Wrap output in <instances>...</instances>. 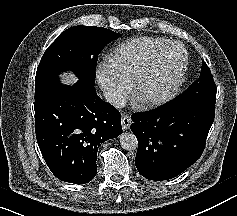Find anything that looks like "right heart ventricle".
<instances>
[{"label": "right heart ventricle", "mask_w": 237, "mask_h": 216, "mask_svg": "<svg viewBox=\"0 0 237 216\" xmlns=\"http://www.w3.org/2000/svg\"><path fill=\"white\" fill-rule=\"evenodd\" d=\"M170 46V40L155 41L145 35L134 36L111 52L108 56V69L118 80H131L151 52L163 53Z\"/></svg>", "instance_id": "obj_1"}]
</instances>
